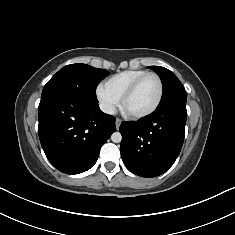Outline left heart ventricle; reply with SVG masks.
<instances>
[{
    "label": "left heart ventricle",
    "instance_id": "left-heart-ventricle-1",
    "mask_svg": "<svg viewBox=\"0 0 235 235\" xmlns=\"http://www.w3.org/2000/svg\"><path fill=\"white\" fill-rule=\"evenodd\" d=\"M159 94V84L155 77L145 78L130 96L124 105L126 112L130 114L140 113L151 108Z\"/></svg>",
    "mask_w": 235,
    "mask_h": 235
}]
</instances>
